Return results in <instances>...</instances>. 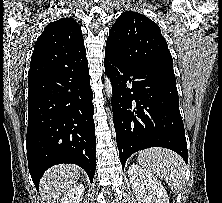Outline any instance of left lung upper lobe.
Returning <instances> with one entry per match:
<instances>
[{
    "mask_svg": "<svg viewBox=\"0 0 222 203\" xmlns=\"http://www.w3.org/2000/svg\"><path fill=\"white\" fill-rule=\"evenodd\" d=\"M133 64L160 65L173 69V60L159 26L148 17L126 11L109 32L106 50Z\"/></svg>",
    "mask_w": 222,
    "mask_h": 203,
    "instance_id": "1",
    "label": "left lung upper lobe"
}]
</instances>
